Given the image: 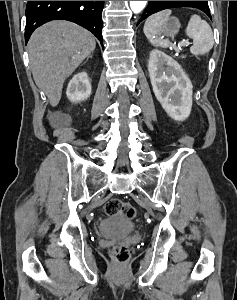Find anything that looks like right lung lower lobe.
I'll list each match as a JSON object with an SVG mask.
<instances>
[{
  "mask_svg": "<svg viewBox=\"0 0 237 300\" xmlns=\"http://www.w3.org/2000/svg\"><path fill=\"white\" fill-rule=\"evenodd\" d=\"M104 1H28L25 42L39 26L51 20H68L92 32L103 45L102 10Z\"/></svg>",
  "mask_w": 237,
  "mask_h": 300,
  "instance_id": "obj_1",
  "label": "right lung lower lobe"
}]
</instances>
